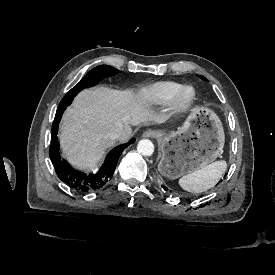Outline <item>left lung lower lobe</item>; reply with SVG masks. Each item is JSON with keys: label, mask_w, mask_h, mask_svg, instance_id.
Instances as JSON below:
<instances>
[{"label": "left lung lower lobe", "mask_w": 275, "mask_h": 275, "mask_svg": "<svg viewBox=\"0 0 275 275\" xmlns=\"http://www.w3.org/2000/svg\"><path fill=\"white\" fill-rule=\"evenodd\" d=\"M226 176V175H225ZM225 176H224V178H225ZM222 181V180H221ZM163 187V189H165V190H167V188L166 187H164V186H162Z\"/></svg>", "instance_id": "obj_1"}]
</instances>
